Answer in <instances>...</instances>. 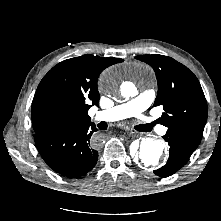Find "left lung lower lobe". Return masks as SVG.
<instances>
[{
    "instance_id": "0a47b994",
    "label": "left lung lower lobe",
    "mask_w": 221,
    "mask_h": 221,
    "mask_svg": "<svg viewBox=\"0 0 221 221\" xmlns=\"http://www.w3.org/2000/svg\"><path fill=\"white\" fill-rule=\"evenodd\" d=\"M163 138L170 146L169 159L163 167L155 170L154 173L159 177H168L186 164L200 142L176 134H166Z\"/></svg>"
}]
</instances>
